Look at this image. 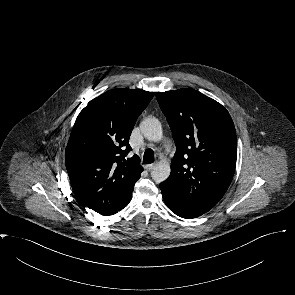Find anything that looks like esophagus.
<instances>
[{
	"label": "esophagus",
	"instance_id": "obj_1",
	"mask_svg": "<svg viewBox=\"0 0 295 295\" xmlns=\"http://www.w3.org/2000/svg\"><path fill=\"white\" fill-rule=\"evenodd\" d=\"M156 166V163H152V164H148V165H145L144 168L147 170V171H152Z\"/></svg>",
	"mask_w": 295,
	"mask_h": 295
}]
</instances>
